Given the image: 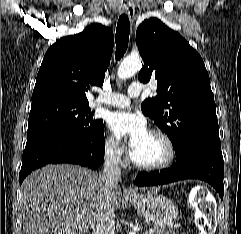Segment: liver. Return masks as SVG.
I'll use <instances>...</instances> for the list:
<instances>
[{
  "label": "liver",
  "mask_w": 241,
  "mask_h": 234,
  "mask_svg": "<svg viewBox=\"0 0 241 234\" xmlns=\"http://www.w3.org/2000/svg\"><path fill=\"white\" fill-rule=\"evenodd\" d=\"M121 197L117 186L109 197L114 211ZM106 202L101 174L77 165H47L22 183L23 234H85Z\"/></svg>",
  "instance_id": "obj_1"
}]
</instances>
